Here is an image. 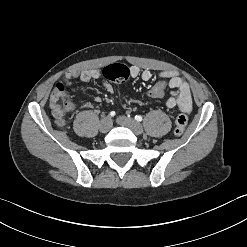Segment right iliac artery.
Instances as JSON below:
<instances>
[{
    "mask_svg": "<svg viewBox=\"0 0 247 247\" xmlns=\"http://www.w3.org/2000/svg\"><path fill=\"white\" fill-rule=\"evenodd\" d=\"M111 117L115 116V111H111L109 114Z\"/></svg>",
    "mask_w": 247,
    "mask_h": 247,
    "instance_id": "right-iliac-artery-1",
    "label": "right iliac artery"
}]
</instances>
